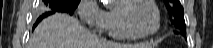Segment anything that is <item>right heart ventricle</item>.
I'll return each instance as SVG.
<instances>
[{
	"label": "right heart ventricle",
	"mask_w": 213,
	"mask_h": 48,
	"mask_svg": "<svg viewBox=\"0 0 213 48\" xmlns=\"http://www.w3.org/2000/svg\"><path fill=\"white\" fill-rule=\"evenodd\" d=\"M104 31L109 37L116 40L132 41L139 39L130 34L122 25L118 13V6L112 7L106 11Z\"/></svg>",
	"instance_id": "obj_1"
}]
</instances>
